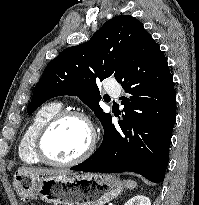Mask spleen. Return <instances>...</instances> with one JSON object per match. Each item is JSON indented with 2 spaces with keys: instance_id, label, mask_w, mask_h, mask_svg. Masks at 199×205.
Wrapping results in <instances>:
<instances>
[{
  "instance_id": "3e777b00",
  "label": "spleen",
  "mask_w": 199,
  "mask_h": 205,
  "mask_svg": "<svg viewBox=\"0 0 199 205\" xmlns=\"http://www.w3.org/2000/svg\"><path fill=\"white\" fill-rule=\"evenodd\" d=\"M124 186L130 190L134 189L137 186V183L133 180H125Z\"/></svg>"
}]
</instances>
